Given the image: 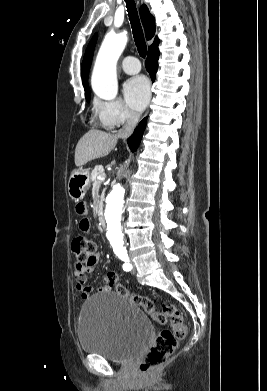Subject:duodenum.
<instances>
[{"label": "duodenum", "mask_w": 267, "mask_h": 391, "mask_svg": "<svg viewBox=\"0 0 267 391\" xmlns=\"http://www.w3.org/2000/svg\"><path fill=\"white\" fill-rule=\"evenodd\" d=\"M98 220H99V225L102 229H105L106 228V221H105V218H104V214H103V210L100 209L99 210V213H98Z\"/></svg>", "instance_id": "1"}]
</instances>
